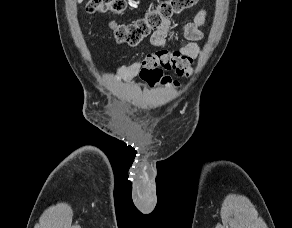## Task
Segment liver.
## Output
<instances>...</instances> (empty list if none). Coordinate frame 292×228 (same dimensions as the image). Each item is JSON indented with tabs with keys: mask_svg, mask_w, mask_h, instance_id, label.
Returning <instances> with one entry per match:
<instances>
[{
	"mask_svg": "<svg viewBox=\"0 0 292 228\" xmlns=\"http://www.w3.org/2000/svg\"><path fill=\"white\" fill-rule=\"evenodd\" d=\"M78 1V3H81L83 0H77Z\"/></svg>",
	"mask_w": 292,
	"mask_h": 228,
	"instance_id": "6515ba94",
	"label": "liver"
}]
</instances>
